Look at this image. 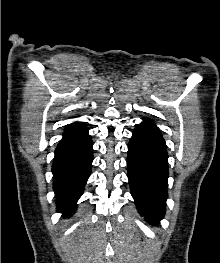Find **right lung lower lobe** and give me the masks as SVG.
<instances>
[{"label": "right lung lower lobe", "instance_id": "right-lung-lower-lobe-1", "mask_svg": "<svg viewBox=\"0 0 220 263\" xmlns=\"http://www.w3.org/2000/svg\"><path fill=\"white\" fill-rule=\"evenodd\" d=\"M92 141L85 131L67 133L55 150L52 166L53 188L57 210L64 216L72 214L91 173Z\"/></svg>", "mask_w": 220, "mask_h": 263}]
</instances>
